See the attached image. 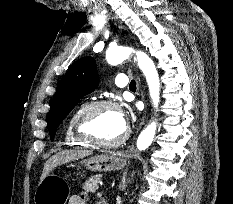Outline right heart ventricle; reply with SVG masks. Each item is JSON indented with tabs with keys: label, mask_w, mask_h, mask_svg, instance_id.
<instances>
[{
	"label": "right heart ventricle",
	"mask_w": 233,
	"mask_h": 204,
	"mask_svg": "<svg viewBox=\"0 0 233 204\" xmlns=\"http://www.w3.org/2000/svg\"><path fill=\"white\" fill-rule=\"evenodd\" d=\"M83 108V106L77 108L69 117L66 127H65V132H64V139L67 145L72 146V147H85L88 146L85 142L80 140L74 132V123L75 119L80 112V110Z\"/></svg>",
	"instance_id": "1"
}]
</instances>
